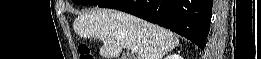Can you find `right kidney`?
I'll list each match as a JSON object with an SVG mask.
<instances>
[{
	"label": "right kidney",
	"mask_w": 261,
	"mask_h": 59,
	"mask_svg": "<svg viewBox=\"0 0 261 59\" xmlns=\"http://www.w3.org/2000/svg\"><path fill=\"white\" fill-rule=\"evenodd\" d=\"M167 59H182V57L179 54L171 55Z\"/></svg>",
	"instance_id": "1"
}]
</instances>
